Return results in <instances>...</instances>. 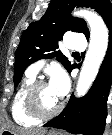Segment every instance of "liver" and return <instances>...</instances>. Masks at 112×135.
Masks as SVG:
<instances>
[{
  "instance_id": "obj_1",
  "label": "liver",
  "mask_w": 112,
  "mask_h": 135,
  "mask_svg": "<svg viewBox=\"0 0 112 135\" xmlns=\"http://www.w3.org/2000/svg\"><path fill=\"white\" fill-rule=\"evenodd\" d=\"M8 129H10V131L15 135H44L46 132L44 129L28 131L16 128L14 126H9Z\"/></svg>"
}]
</instances>
